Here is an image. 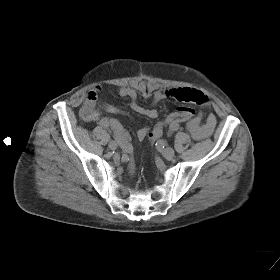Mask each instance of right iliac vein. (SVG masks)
<instances>
[{"mask_svg":"<svg viewBox=\"0 0 280 280\" xmlns=\"http://www.w3.org/2000/svg\"><path fill=\"white\" fill-rule=\"evenodd\" d=\"M108 147H109L111 150H116L117 147H118V144H117V142H115V141H110L109 144H108Z\"/></svg>","mask_w":280,"mask_h":280,"instance_id":"63e3f726","label":"right iliac vein"}]
</instances>
